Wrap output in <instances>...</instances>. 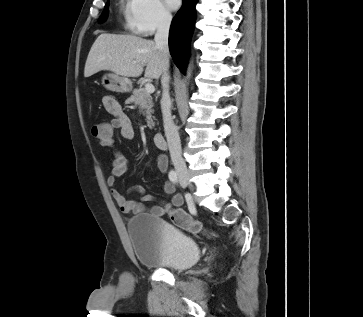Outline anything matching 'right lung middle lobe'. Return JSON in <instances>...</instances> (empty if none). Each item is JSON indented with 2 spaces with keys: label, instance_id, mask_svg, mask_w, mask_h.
<instances>
[{
  "label": "right lung middle lobe",
  "instance_id": "1",
  "mask_svg": "<svg viewBox=\"0 0 363 317\" xmlns=\"http://www.w3.org/2000/svg\"><path fill=\"white\" fill-rule=\"evenodd\" d=\"M107 14H108V4L105 6L100 18H99V21L102 22L106 19L107 17Z\"/></svg>",
  "mask_w": 363,
  "mask_h": 317
}]
</instances>
